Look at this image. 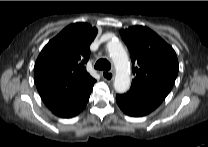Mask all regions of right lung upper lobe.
Segmentation results:
<instances>
[{"label":"right lung upper lobe","instance_id":"1","mask_svg":"<svg viewBox=\"0 0 208 147\" xmlns=\"http://www.w3.org/2000/svg\"><path fill=\"white\" fill-rule=\"evenodd\" d=\"M96 35L97 29L87 23L71 24L41 51L35 63L34 78L50 110L70 104L92 89L95 79L87 73L85 64Z\"/></svg>","mask_w":208,"mask_h":147}]
</instances>
